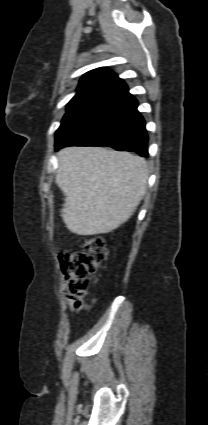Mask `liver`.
<instances>
[{"label":"liver","instance_id":"obj_1","mask_svg":"<svg viewBox=\"0 0 208 425\" xmlns=\"http://www.w3.org/2000/svg\"><path fill=\"white\" fill-rule=\"evenodd\" d=\"M57 156L56 183L66 196L61 216L72 233L115 230L146 193L148 168L142 157L102 147H67Z\"/></svg>","mask_w":208,"mask_h":425}]
</instances>
